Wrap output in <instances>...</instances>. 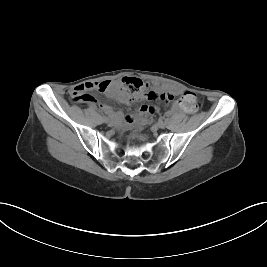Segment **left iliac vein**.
<instances>
[{
    "mask_svg": "<svg viewBox=\"0 0 267 267\" xmlns=\"http://www.w3.org/2000/svg\"><path fill=\"white\" fill-rule=\"evenodd\" d=\"M157 126H158L159 128H161V129H164V128L166 127V124H165L163 121H159V122L157 123Z\"/></svg>",
    "mask_w": 267,
    "mask_h": 267,
    "instance_id": "left-iliac-vein-1",
    "label": "left iliac vein"
}]
</instances>
